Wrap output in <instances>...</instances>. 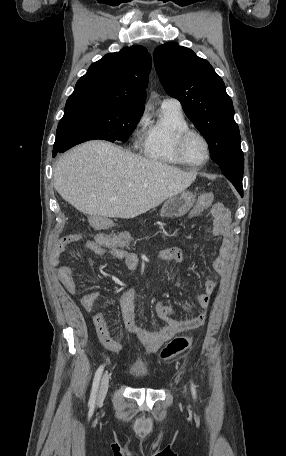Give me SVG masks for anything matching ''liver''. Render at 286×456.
I'll list each match as a JSON object with an SVG mask.
<instances>
[{
    "instance_id": "liver-1",
    "label": "liver",
    "mask_w": 286,
    "mask_h": 456,
    "mask_svg": "<svg viewBox=\"0 0 286 456\" xmlns=\"http://www.w3.org/2000/svg\"><path fill=\"white\" fill-rule=\"evenodd\" d=\"M196 175L112 143L90 141L59 159L53 184L65 201L85 214L129 219L181 193Z\"/></svg>"
}]
</instances>
